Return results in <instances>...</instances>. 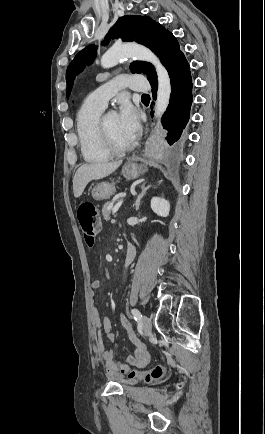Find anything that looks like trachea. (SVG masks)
<instances>
[{"mask_svg": "<svg viewBox=\"0 0 265 434\" xmlns=\"http://www.w3.org/2000/svg\"><path fill=\"white\" fill-rule=\"evenodd\" d=\"M142 98H150L147 94H143Z\"/></svg>", "mask_w": 265, "mask_h": 434, "instance_id": "trachea-1", "label": "trachea"}]
</instances>
